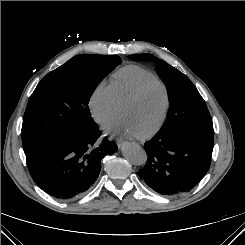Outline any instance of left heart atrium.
<instances>
[{
    "label": "left heart atrium",
    "instance_id": "1",
    "mask_svg": "<svg viewBox=\"0 0 245 245\" xmlns=\"http://www.w3.org/2000/svg\"><path fill=\"white\" fill-rule=\"evenodd\" d=\"M111 131L114 132H123L129 137H137L139 134L128 124L125 118L121 122H117L111 125Z\"/></svg>",
    "mask_w": 245,
    "mask_h": 245
}]
</instances>
